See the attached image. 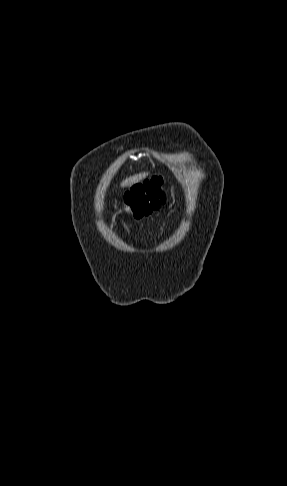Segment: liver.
Segmentation results:
<instances>
[{"instance_id":"1","label":"liver","mask_w":287,"mask_h":486,"mask_svg":"<svg viewBox=\"0 0 287 486\" xmlns=\"http://www.w3.org/2000/svg\"><path fill=\"white\" fill-rule=\"evenodd\" d=\"M147 175H148V173H146V172L133 175V176L123 180L120 185H121V187L132 186V185L140 182L141 180L145 179Z\"/></svg>"}]
</instances>
